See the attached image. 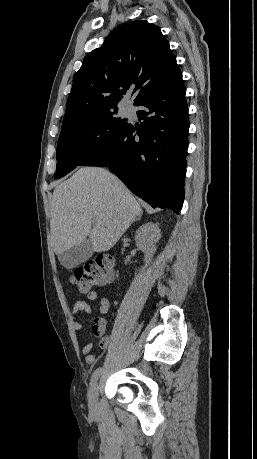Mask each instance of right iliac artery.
<instances>
[{
    "mask_svg": "<svg viewBox=\"0 0 257 459\" xmlns=\"http://www.w3.org/2000/svg\"><path fill=\"white\" fill-rule=\"evenodd\" d=\"M101 371H102V368L99 367L93 372L92 377H91V382H90L91 385L96 383V381L98 380L100 376Z\"/></svg>",
    "mask_w": 257,
    "mask_h": 459,
    "instance_id": "82829eb1",
    "label": "right iliac artery"
}]
</instances>
